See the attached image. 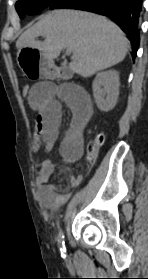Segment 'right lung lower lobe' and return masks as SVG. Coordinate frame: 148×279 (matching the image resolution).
Returning a JSON list of instances; mask_svg holds the SVG:
<instances>
[{"mask_svg": "<svg viewBox=\"0 0 148 279\" xmlns=\"http://www.w3.org/2000/svg\"><path fill=\"white\" fill-rule=\"evenodd\" d=\"M49 7L86 10L112 18L128 35L132 44V57L135 59L140 41L142 0H60Z\"/></svg>", "mask_w": 148, "mask_h": 279, "instance_id": "98d812e1", "label": "right lung lower lobe"}]
</instances>
